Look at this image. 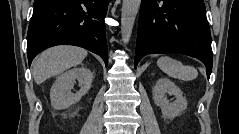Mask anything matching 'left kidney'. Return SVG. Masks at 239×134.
I'll return each mask as SVG.
<instances>
[{
  "mask_svg": "<svg viewBox=\"0 0 239 134\" xmlns=\"http://www.w3.org/2000/svg\"><path fill=\"white\" fill-rule=\"evenodd\" d=\"M167 94L174 95L176 100L170 103L167 100ZM153 100L161 108L164 118H175L187 108V100L182 91L168 78L157 80L153 88Z\"/></svg>",
  "mask_w": 239,
  "mask_h": 134,
  "instance_id": "obj_1",
  "label": "left kidney"
}]
</instances>
